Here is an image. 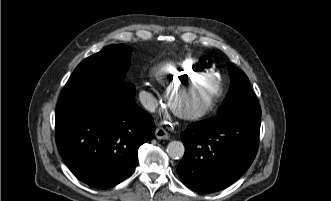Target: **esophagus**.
<instances>
[{
    "instance_id": "esophagus-1",
    "label": "esophagus",
    "mask_w": 331,
    "mask_h": 201,
    "mask_svg": "<svg viewBox=\"0 0 331 201\" xmlns=\"http://www.w3.org/2000/svg\"><path fill=\"white\" fill-rule=\"evenodd\" d=\"M155 136L159 140H168L170 138V134L162 127L155 130Z\"/></svg>"
}]
</instances>
